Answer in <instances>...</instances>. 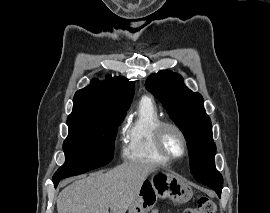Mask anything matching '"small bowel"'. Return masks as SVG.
I'll return each instance as SVG.
<instances>
[{
  "mask_svg": "<svg viewBox=\"0 0 270 213\" xmlns=\"http://www.w3.org/2000/svg\"><path fill=\"white\" fill-rule=\"evenodd\" d=\"M152 213H159V209L156 207L152 210Z\"/></svg>",
  "mask_w": 270,
  "mask_h": 213,
  "instance_id": "1",
  "label": "small bowel"
}]
</instances>
